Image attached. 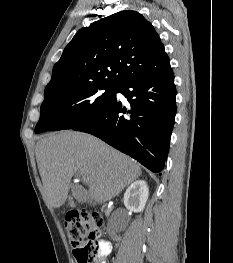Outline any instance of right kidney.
Returning <instances> with one entry per match:
<instances>
[{"label":"right kidney","mask_w":233,"mask_h":263,"mask_svg":"<svg viewBox=\"0 0 233 263\" xmlns=\"http://www.w3.org/2000/svg\"><path fill=\"white\" fill-rule=\"evenodd\" d=\"M149 196V188L144 180L133 182L126 190L123 202L132 212H141L145 208Z\"/></svg>","instance_id":"1"}]
</instances>
